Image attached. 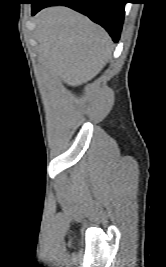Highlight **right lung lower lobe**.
Here are the masks:
<instances>
[{"instance_id": "1", "label": "right lung lower lobe", "mask_w": 166, "mask_h": 267, "mask_svg": "<svg viewBox=\"0 0 166 267\" xmlns=\"http://www.w3.org/2000/svg\"><path fill=\"white\" fill-rule=\"evenodd\" d=\"M125 0H34L32 15L51 5H64L87 15L118 42L124 19Z\"/></svg>"}]
</instances>
